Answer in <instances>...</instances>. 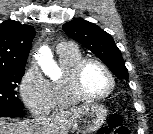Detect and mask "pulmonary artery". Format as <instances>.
<instances>
[{
    "instance_id": "1",
    "label": "pulmonary artery",
    "mask_w": 153,
    "mask_h": 134,
    "mask_svg": "<svg viewBox=\"0 0 153 134\" xmlns=\"http://www.w3.org/2000/svg\"><path fill=\"white\" fill-rule=\"evenodd\" d=\"M74 48H75V46L72 43H60L57 46V52L61 53V52H64V51L72 50Z\"/></svg>"
}]
</instances>
